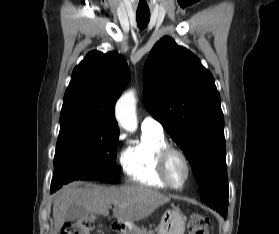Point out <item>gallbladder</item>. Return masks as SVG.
<instances>
[{
	"label": "gallbladder",
	"mask_w": 279,
	"mask_h": 234,
	"mask_svg": "<svg viewBox=\"0 0 279 234\" xmlns=\"http://www.w3.org/2000/svg\"><path fill=\"white\" fill-rule=\"evenodd\" d=\"M90 213L89 211L84 208L81 205L78 204H73L69 207L67 214H66V219L67 220H79L82 218H87L89 217Z\"/></svg>",
	"instance_id": "gallbladder-1"
}]
</instances>
